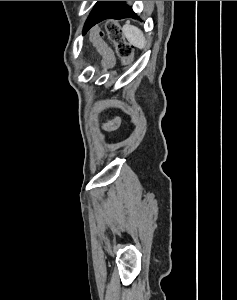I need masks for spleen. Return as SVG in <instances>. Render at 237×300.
Segmentation results:
<instances>
[{
  "label": "spleen",
  "instance_id": "1",
  "mask_svg": "<svg viewBox=\"0 0 237 300\" xmlns=\"http://www.w3.org/2000/svg\"><path fill=\"white\" fill-rule=\"evenodd\" d=\"M123 33L127 41H129L133 47H137V49H144V47H146L145 37L138 27H134V25H124Z\"/></svg>",
  "mask_w": 237,
  "mask_h": 300
}]
</instances>
